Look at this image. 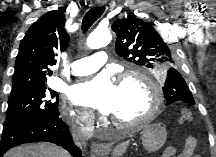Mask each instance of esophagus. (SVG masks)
I'll list each match as a JSON object with an SVG mask.
<instances>
[{"mask_svg":"<svg viewBox=\"0 0 216 157\" xmlns=\"http://www.w3.org/2000/svg\"><path fill=\"white\" fill-rule=\"evenodd\" d=\"M105 4V1L104 0H97L96 1V5L97 6H103ZM90 149L92 151H95V152H99V151H103L106 149V146L103 145V144H99V143H96V142H92L90 144Z\"/></svg>","mask_w":216,"mask_h":157,"instance_id":"1","label":"esophagus"}]
</instances>
